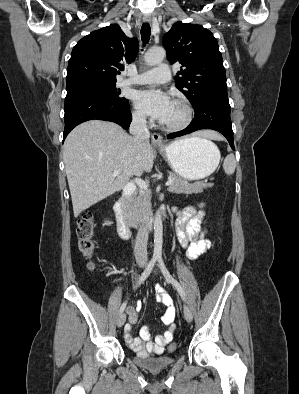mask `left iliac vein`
I'll use <instances>...</instances> for the list:
<instances>
[{"label":"left iliac vein","instance_id":"1","mask_svg":"<svg viewBox=\"0 0 299 394\" xmlns=\"http://www.w3.org/2000/svg\"><path fill=\"white\" fill-rule=\"evenodd\" d=\"M183 312H184V317H185L186 321L191 322L192 318H193L192 312L186 305H184Z\"/></svg>","mask_w":299,"mask_h":394}]
</instances>
